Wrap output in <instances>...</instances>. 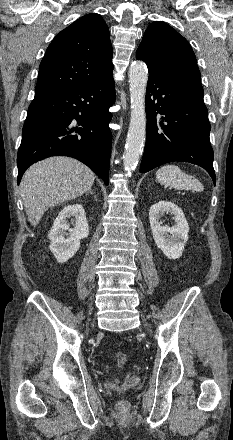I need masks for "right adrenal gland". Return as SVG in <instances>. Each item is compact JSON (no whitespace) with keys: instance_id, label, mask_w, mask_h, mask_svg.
Wrapping results in <instances>:
<instances>
[{"instance_id":"2a0ac1e0","label":"right adrenal gland","mask_w":233,"mask_h":440,"mask_svg":"<svg viewBox=\"0 0 233 440\" xmlns=\"http://www.w3.org/2000/svg\"><path fill=\"white\" fill-rule=\"evenodd\" d=\"M88 193H90V194H94L93 192H92V190L90 189L89 191H88Z\"/></svg>"}]
</instances>
